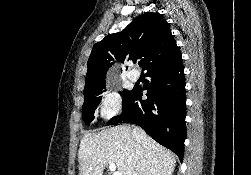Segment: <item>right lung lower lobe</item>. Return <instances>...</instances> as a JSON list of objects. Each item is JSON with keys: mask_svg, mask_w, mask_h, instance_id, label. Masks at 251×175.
<instances>
[{"mask_svg": "<svg viewBox=\"0 0 251 175\" xmlns=\"http://www.w3.org/2000/svg\"><path fill=\"white\" fill-rule=\"evenodd\" d=\"M181 57L169 64L147 71L151 80L135 86L123 97V113L108 125L121 121L141 126L158 143L172 150L180 161L186 139L185 79ZM147 90L148 99L142 100Z\"/></svg>", "mask_w": 251, "mask_h": 175, "instance_id": "right-lung-lower-lobe-1", "label": "right lung lower lobe"}]
</instances>
